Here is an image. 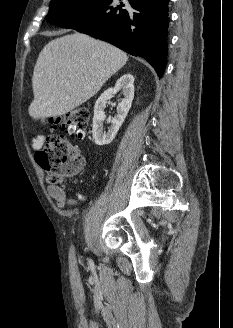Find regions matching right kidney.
I'll use <instances>...</instances> for the list:
<instances>
[{
	"mask_svg": "<svg viewBox=\"0 0 233 328\" xmlns=\"http://www.w3.org/2000/svg\"><path fill=\"white\" fill-rule=\"evenodd\" d=\"M134 77L126 73L122 75L116 82L113 88H109L97 99L94 106L93 128L92 134L95 143L99 146L110 144L115 138L119 128L126 118L134 98ZM119 90H122L124 98L117 106V114L114 118H109L108 123L111 127L108 132H103V121L106 116L104 110L107 100L115 95Z\"/></svg>",
	"mask_w": 233,
	"mask_h": 328,
	"instance_id": "right-kidney-1",
	"label": "right kidney"
}]
</instances>
